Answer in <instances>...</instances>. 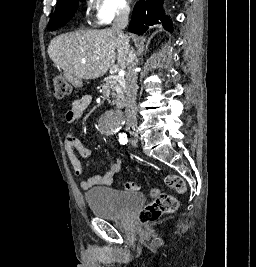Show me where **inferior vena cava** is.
Wrapping results in <instances>:
<instances>
[{"label": "inferior vena cava", "instance_id": "inferior-vena-cava-1", "mask_svg": "<svg viewBox=\"0 0 256 267\" xmlns=\"http://www.w3.org/2000/svg\"><path fill=\"white\" fill-rule=\"evenodd\" d=\"M130 14L129 6H121L119 12L116 14V18L112 24V32H116L119 38H123L126 42H129L128 36L123 34L126 26H128V18ZM138 60L134 54V50L129 52V60L127 64V72L125 74L126 84V100H125V114H126V126L127 128H136L137 126V108H136V96H137V72L136 64Z\"/></svg>", "mask_w": 256, "mask_h": 267}]
</instances>
